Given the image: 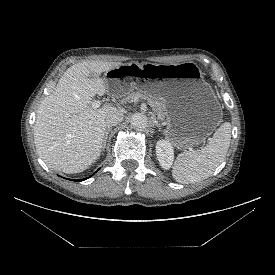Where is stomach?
<instances>
[{
	"label": "stomach",
	"mask_w": 275,
	"mask_h": 275,
	"mask_svg": "<svg viewBox=\"0 0 275 275\" xmlns=\"http://www.w3.org/2000/svg\"><path fill=\"white\" fill-rule=\"evenodd\" d=\"M103 79L117 95L136 89L163 99L167 125L164 134L178 149L201 144L222 120L217 97L194 62H131L106 71Z\"/></svg>",
	"instance_id": "stomach-1"
}]
</instances>
